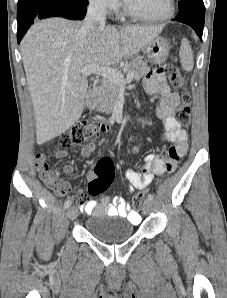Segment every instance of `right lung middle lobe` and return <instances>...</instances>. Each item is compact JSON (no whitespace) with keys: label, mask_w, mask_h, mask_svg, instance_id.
<instances>
[{"label":"right lung middle lobe","mask_w":227,"mask_h":298,"mask_svg":"<svg viewBox=\"0 0 227 298\" xmlns=\"http://www.w3.org/2000/svg\"><path fill=\"white\" fill-rule=\"evenodd\" d=\"M40 1V0H19L17 6V12L32 5L33 3ZM76 3L88 5V0H71Z\"/></svg>","instance_id":"dd1d6c3e"}]
</instances>
